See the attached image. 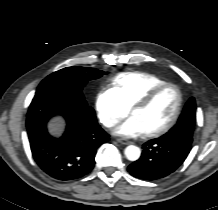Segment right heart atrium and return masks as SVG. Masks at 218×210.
Returning <instances> with one entry per match:
<instances>
[{
  "instance_id": "right-heart-atrium-1",
  "label": "right heart atrium",
  "mask_w": 218,
  "mask_h": 210,
  "mask_svg": "<svg viewBox=\"0 0 218 210\" xmlns=\"http://www.w3.org/2000/svg\"><path fill=\"white\" fill-rule=\"evenodd\" d=\"M94 105L98 118L107 128L118 125L130 112L120 96L109 87L99 90Z\"/></svg>"
}]
</instances>
